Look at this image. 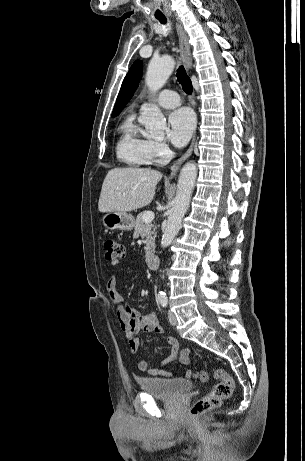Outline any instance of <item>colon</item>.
<instances>
[{
	"label": "colon",
	"mask_w": 305,
	"mask_h": 461,
	"mask_svg": "<svg viewBox=\"0 0 305 461\" xmlns=\"http://www.w3.org/2000/svg\"><path fill=\"white\" fill-rule=\"evenodd\" d=\"M105 257L113 265L118 264L125 257L124 246L113 239L104 242ZM218 381L210 392L198 399L190 410V415L196 417L207 411L219 407L225 400L229 399L234 388V379L231 374L223 369H216L213 373ZM193 377L206 382L209 378L207 370H200L193 374Z\"/></svg>",
	"instance_id": "5ec220e1"
}]
</instances>
